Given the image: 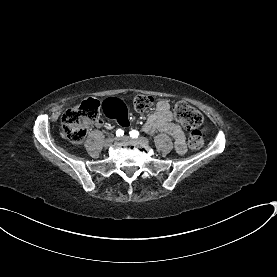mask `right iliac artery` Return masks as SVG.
<instances>
[{"label":"right iliac artery","instance_id":"1","mask_svg":"<svg viewBox=\"0 0 277 277\" xmlns=\"http://www.w3.org/2000/svg\"><path fill=\"white\" fill-rule=\"evenodd\" d=\"M124 135V131L122 130V129H118L117 131H116V136L117 137H121V136H123Z\"/></svg>","mask_w":277,"mask_h":277}]
</instances>
